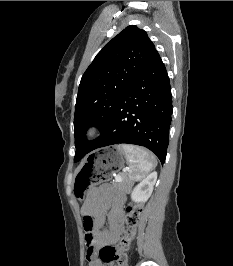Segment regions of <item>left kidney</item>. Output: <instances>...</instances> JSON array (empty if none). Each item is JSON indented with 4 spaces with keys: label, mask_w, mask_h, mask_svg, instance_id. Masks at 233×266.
I'll return each mask as SVG.
<instances>
[{
    "label": "left kidney",
    "mask_w": 233,
    "mask_h": 266,
    "mask_svg": "<svg viewBox=\"0 0 233 266\" xmlns=\"http://www.w3.org/2000/svg\"><path fill=\"white\" fill-rule=\"evenodd\" d=\"M157 180V173H150L131 192V199L135 202H146L152 194L153 187Z\"/></svg>",
    "instance_id": "1"
}]
</instances>
